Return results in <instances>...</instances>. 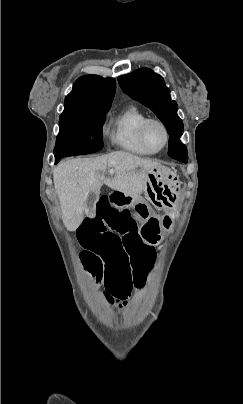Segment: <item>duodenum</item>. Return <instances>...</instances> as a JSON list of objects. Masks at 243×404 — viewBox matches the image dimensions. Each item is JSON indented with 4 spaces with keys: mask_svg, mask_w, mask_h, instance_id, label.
<instances>
[{
    "mask_svg": "<svg viewBox=\"0 0 243 404\" xmlns=\"http://www.w3.org/2000/svg\"><path fill=\"white\" fill-rule=\"evenodd\" d=\"M112 201L121 207H130L135 202V197L124 189H114L111 193Z\"/></svg>",
    "mask_w": 243,
    "mask_h": 404,
    "instance_id": "obj_1",
    "label": "duodenum"
}]
</instances>
